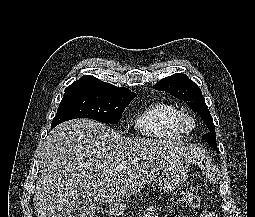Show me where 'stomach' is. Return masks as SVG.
<instances>
[{
	"mask_svg": "<svg viewBox=\"0 0 255 217\" xmlns=\"http://www.w3.org/2000/svg\"><path fill=\"white\" fill-rule=\"evenodd\" d=\"M188 177V171L182 161L175 162L162 170L158 176L159 186L165 191H172ZM126 204L118 199L109 203V212L115 217L124 215Z\"/></svg>",
	"mask_w": 255,
	"mask_h": 217,
	"instance_id": "1",
	"label": "stomach"
}]
</instances>
